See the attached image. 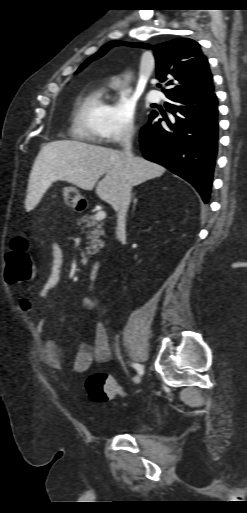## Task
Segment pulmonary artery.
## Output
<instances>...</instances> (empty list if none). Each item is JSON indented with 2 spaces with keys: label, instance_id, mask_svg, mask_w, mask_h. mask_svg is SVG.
Listing matches in <instances>:
<instances>
[{
  "label": "pulmonary artery",
  "instance_id": "e3ab8cb5",
  "mask_svg": "<svg viewBox=\"0 0 247 513\" xmlns=\"http://www.w3.org/2000/svg\"><path fill=\"white\" fill-rule=\"evenodd\" d=\"M148 97L151 102H158L161 98L160 93L156 90L150 91Z\"/></svg>",
  "mask_w": 247,
  "mask_h": 513
}]
</instances>
